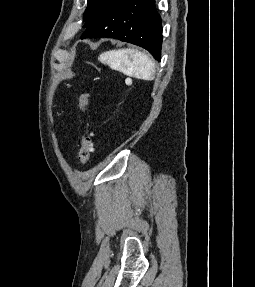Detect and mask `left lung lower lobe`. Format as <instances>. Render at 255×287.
Instances as JSON below:
<instances>
[{"label":"left lung lower lobe","mask_w":255,"mask_h":287,"mask_svg":"<svg viewBox=\"0 0 255 287\" xmlns=\"http://www.w3.org/2000/svg\"><path fill=\"white\" fill-rule=\"evenodd\" d=\"M99 37L141 46L160 61L162 25L154 0H114L81 36L82 39Z\"/></svg>","instance_id":"0a47b994"}]
</instances>
